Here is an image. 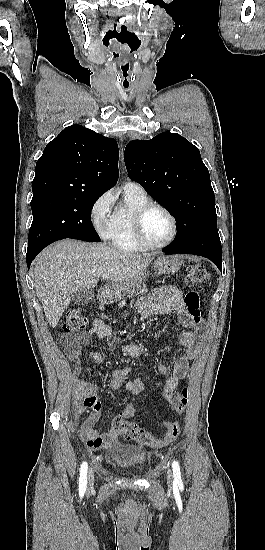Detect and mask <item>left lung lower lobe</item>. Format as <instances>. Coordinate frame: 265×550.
<instances>
[{
    "instance_id": "obj_1",
    "label": "left lung lower lobe",
    "mask_w": 265,
    "mask_h": 550,
    "mask_svg": "<svg viewBox=\"0 0 265 550\" xmlns=\"http://www.w3.org/2000/svg\"><path fill=\"white\" fill-rule=\"evenodd\" d=\"M162 251L165 254H177V253H184V254H195L200 255L203 257H206L210 259L220 270L222 269V256L215 255L210 252H201V251H185L182 249H179L175 247L173 244L169 245L162 249Z\"/></svg>"
}]
</instances>
